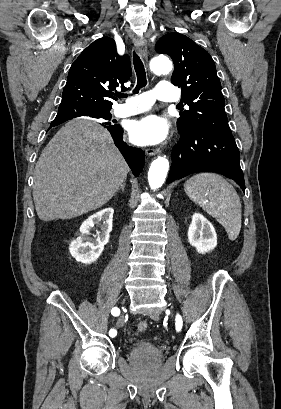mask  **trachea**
<instances>
[{
    "instance_id": "1",
    "label": "trachea",
    "mask_w": 281,
    "mask_h": 409,
    "mask_svg": "<svg viewBox=\"0 0 281 409\" xmlns=\"http://www.w3.org/2000/svg\"><path fill=\"white\" fill-rule=\"evenodd\" d=\"M133 65H134V69H135L136 76H137V85H136L135 89L133 90V94H135V93H139V90L141 88L145 87L146 84H147L146 72H145L143 62L140 59L139 55H137V53H135V52L133 53ZM116 97L126 98V97H128V95L118 93L116 95Z\"/></svg>"
}]
</instances>
